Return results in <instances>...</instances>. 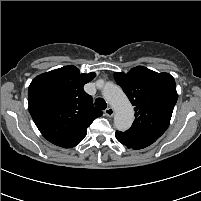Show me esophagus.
I'll return each mask as SVG.
<instances>
[{
    "mask_svg": "<svg viewBox=\"0 0 201 201\" xmlns=\"http://www.w3.org/2000/svg\"><path fill=\"white\" fill-rule=\"evenodd\" d=\"M104 113H105V115H106L107 117H112L113 114H114V110H113L112 107H108V108L104 111Z\"/></svg>",
    "mask_w": 201,
    "mask_h": 201,
    "instance_id": "34e87169",
    "label": "esophagus"
}]
</instances>
